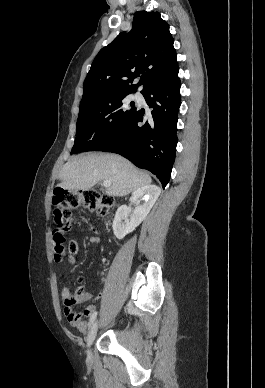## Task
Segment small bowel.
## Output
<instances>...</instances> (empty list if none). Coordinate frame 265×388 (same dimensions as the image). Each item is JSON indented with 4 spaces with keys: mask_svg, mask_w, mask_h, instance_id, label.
<instances>
[{
    "mask_svg": "<svg viewBox=\"0 0 265 388\" xmlns=\"http://www.w3.org/2000/svg\"><path fill=\"white\" fill-rule=\"evenodd\" d=\"M88 244L92 247H98L100 245V238L97 237V236H91L88 238L87 240ZM104 283V282H103ZM62 298H63V301H64V304H65V312L67 309H71V305L73 304L72 302V295L70 294V291L67 287H63L62 288ZM93 294L89 291L87 292H84L81 294L80 298L81 299H90L92 298ZM94 306L91 305V306H88L86 307V309L84 310V315L86 316H91L93 313H94ZM89 324V323H88ZM77 330H79L80 332H84L87 328V321H84L82 319H80V321L73 325Z\"/></svg>",
    "mask_w": 265,
    "mask_h": 388,
    "instance_id": "obj_1",
    "label": "small bowel"
}]
</instances>
